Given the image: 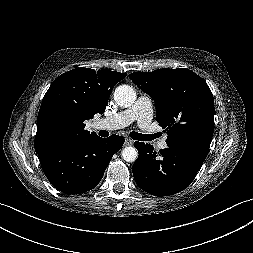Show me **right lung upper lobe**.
Instances as JSON below:
<instances>
[{
	"label": "right lung upper lobe",
	"mask_w": 253,
	"mask_h": 253,
	"mask_svg": "<svg viewBox=\"0 0 253 253\" xmlns=\"http://www.w3.org/2000/svg\"><path fill=\"white\" fill-rule=\"evenodd\" d=\"M126 76L107 69L76 68L60 75L46 92L37 117L35 151L98 137L85 130L94 114H103L116 83Z\"/></svg>",
	"instance_id": "obj_1"
}]
</instances>
